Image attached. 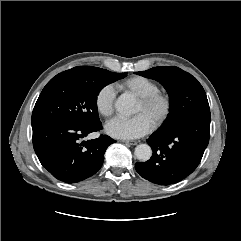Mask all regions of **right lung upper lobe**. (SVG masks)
I'll use <instances>...</instances> for the list:
<instances>
[{
  "instance_id": "cb5924a9",
  "label": "right lung upper lobe",
  "mask_w": 241,
  "mask_h": 241,
  "mask_svg": "<svg viewBox=\"0 0 241 241\" xmlns=\"http://www.w3.org/2000/svg\"><path fill=\"white\" fill-rule=\"evenodd\" d=\"M95 67L91 66H79V67H74L70 70H67L65 72L68 73H75V74H84V75H89L94 72Z\"/></svg>"
}]
</instances>
